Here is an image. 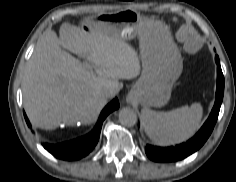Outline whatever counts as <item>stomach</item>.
<instances>
[{
	"label": "stomach",
	"mask_w": 236,
	"mask_h": 182,
	"mask_svg": "<svg viewBox=\"0 0 236 182\" xmlns=\"http://www.w3.org/2000/svg\"><path fill=\"white\" fill-rule=\"evenodd\" d=\"M90 25L95 31L110 32L123 40L139 36L144 46L141 52L142 74L130 90L128 100L144 107H162L167 104L172 86L183 68L180 51L167 26L135 10L92 16Z\"/></svg>",
	"instance_id": "stomach-1"
}]
</instances>
